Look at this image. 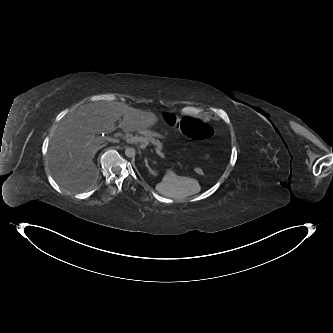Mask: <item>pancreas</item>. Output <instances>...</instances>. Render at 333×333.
Listing matches in <instances>:
<instances>
[{
  "label": "pancreas",
  "mask_w": 333,
  "mask_h": 333,
  "mask_svg": "<svg viewBox=\"0 0 333 333\" xmlns=\"http://www.w3.org/2000/svg\"><path fill=\"white\" fill-rule=\"evenodd\" d=\"M139 133L147 139L148 143L155 145L160 151L163 150V144L160 142L159 139L153 137L150 131H141Z\"/></svg>",
  "instance_id": "cf45deb5"
}]
</instances>
